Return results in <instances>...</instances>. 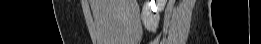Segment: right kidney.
<instances>
[{"label":"right kidney","instance_id":"obj_1","mask_svg":"<svg viewBox=\"0 0 261 44\" xmlns=\"http://www.w3.org/2000/svg\"><path fill=\"white\" fill-rule=\"evenodd\" d=\"M167 0H157V4H155V0H146L143 9H142V22L144 27L148 31H155L157 29L159 23V12L163 11ZM153 12H156L154 15Z\"/></svg>","mask_w":261,"mask_h":44}]
</instances>
